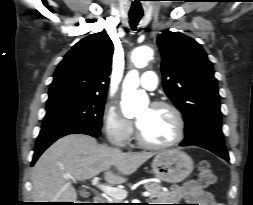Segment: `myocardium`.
Wrapping results in <instances>:
<instances>
[{"label":"myocardium","mask_w":253,"mask_h":205,"mask_svg":"<svg viewBox=\"0 0 253 205\" xmlns=\"http://www.w3.org/2000/svg\"><path fill=\"white\" fill-rule=\"evenodd\" d=\"M152 108H164L169 110L176 122V135L175 137L166 143H151L143 138L138 126L136 127L135 137L139 145L154 150L167 149L179 144L185 136V121L181 111L172 103L167 101H155L150 105Z\"/></svg>","instance_id":"1"}]
</instances>
